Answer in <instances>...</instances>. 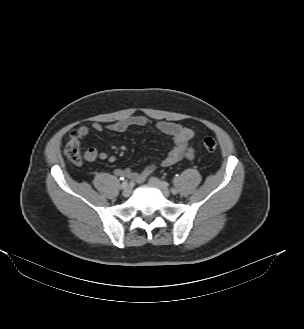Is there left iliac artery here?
Here are the masks:
<instances>
[{
  "label": "left iliac artery",
  "mask_w": 304,
  "mask_h": 329,
  "mask_svg": "<svg viewBox=\"0 0 304 329\" xmlns=\"http://www.w3.org/2000/svg\"><path fill=\"white\" fill-rule=\"evenodd\" d=\"M171 191H172L173 194H177V190L176 189L172 188Z\"/></svg>",
  "instance_id": "44dca946"
}]
</instances>
